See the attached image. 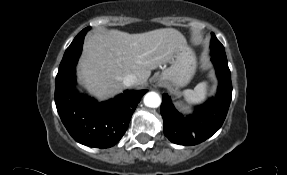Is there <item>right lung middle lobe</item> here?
<instances>
[{
  "instance_id": "dd1d6c3e",
  "label": "right lung middle lobe",
  "mask_w": 287,
  "mask_h": 175,
  "mask_svg": "<svg viewBox=\"0 0 287 175\" xmlns=\"http://www.w3.org/2000/svg\"><path fill=\"white\" fill-rule=\"evenodd\" d=\"M89 29H90V28L88 27V28H85L84 30L87 31V30H89Z\"/></svg>"
}]
</instances>
